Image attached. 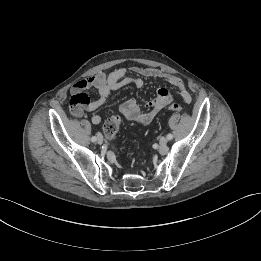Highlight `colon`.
I'll use <instances>...</instances> for the list:
<instances>
[{"label": "colon", "mask_w": 261, "mask_h": 261, "mask_svg": "<svg viewBox=\"0 0 261 261\" xmlns=\"http://www.w3.org/2000/svg\"><path fill=\"white\" fill-rule=\"evenodd\" d=\"M168 110H170L171 112H180L182 110V107L178 103H170L168 105ZM120 124H121V119L119 116H113L105 122L103 126V131L109 140L111 141L114 140L120 128Z\"/></svg>", "instance_id": "5ec220e1"}]
</instances>
